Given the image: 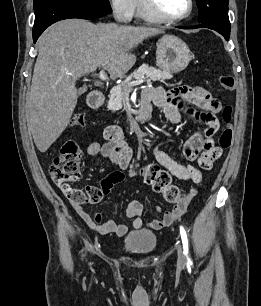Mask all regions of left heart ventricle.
I'll return each mask as SVG.
<instances>
[{"label": "left heart ventricle", "mask_w": 261, "mask_h": 306, "mask_svg": "<svg viewBox=\"0 0 261 306\" xmlns=\"http://www.w3.org/2000/svg\"><path fill=\"white\" fill-rule=\"evenodd\" d=\"M158 9L166 16L183 15L188 9V0H155Z\"/></svg>", "instance_id": "obj_1"}]
</instances>
